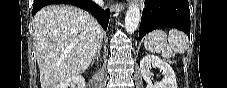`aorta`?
<instances>
[{
	"label": "aorta",
	"mask_w": 227,
	"mask_h": 88,
	"mask_svg": "<svg viewBox=\"0 0 227 88\" xmlns=\"http://www.w3.org/2000/svg\"><path fill=\"white\" fill-rule=\"evenodd\" d=\"M140 20L141 13L138 4L136 2L130 4L125 16V29L127 33H134L139 26Z\"/></svg>",
	"instance_id": "obj_1"
}]
</instances>
